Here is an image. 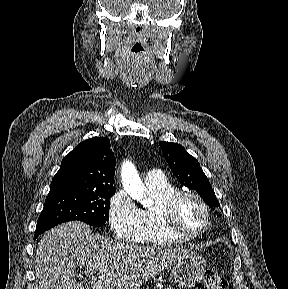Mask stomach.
I'll return each mask as SVG.
<instances>
[{
	"label": "stomach",
	"instance_id": "obj_1",
	"mask_svg": "<svg viewBox=\"0 0 288 289\" xmlns=\"http://www.w3.org/2000/svg\"><path fill=\"white\" fill-rule=\"evenodd\" d=\"M205 267L204 257L191 252L185 258L174 263L172 268L173 280L183 288L195 286L202 279Z\"/></svg>",
	"mask_w": 288,
	"mask_h": 289
}]
</instances>
